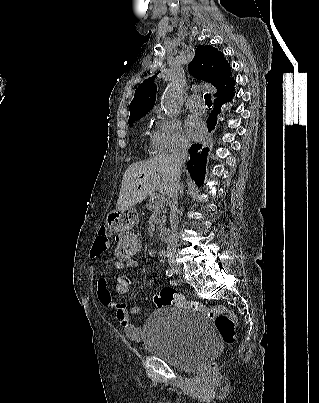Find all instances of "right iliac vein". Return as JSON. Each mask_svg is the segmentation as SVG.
Listing matches in <instances>:
<instances>
[{"mask_svg": "<svg viewBox=\"0 0 319 403\" xmlns=\"http://www.w3.org/2000/svg\"><path fill=\"white\" fill-rule=\"evenodd\" d=\"M172 270L177 274V275H181L182 274V268L178 265H172Z\"/></svg>", "mask_w": 319, "mask_h": 403, "instance_id": "1", "label": "right iliac vein"}]
</instances>
